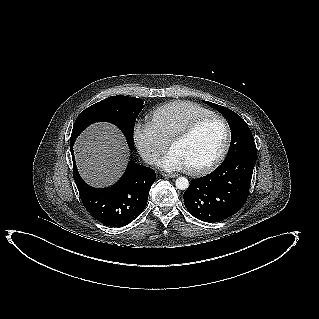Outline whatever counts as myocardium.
Here are the masks:
<instances>
[{
  "label": "myocardium",
  "mask_w": 319,
  "mask_h": 319,
  "mask_svg": "<svg viewBox=\"0 0 319 319\" xmlns=\"http://www.w3.org/2000/svg\"><path fill=\"white\" fill-rule=\"evenodd\" d=\"M209 120H218L219 122L222 123L225 129V140L223 143V146L220 150V152L217 154V156L208 164L201 166V167H195V168H186V172L189 173L190 175L194 176H199V175H205L214 169H216L224 160L226 157L231 139H232V133H231V128L227 122V120L218 115V114H208V115H203L198 118H195L192 120L190 123H188L184 128H182L180 131H178L169 141V147L172 148L174 144L177 142L183 141L189 136H191L194 131L204 122L209 121Z\"/></svg>",
  "instance_id": "f54148a6"
}]
</instances>
